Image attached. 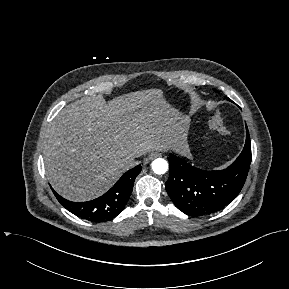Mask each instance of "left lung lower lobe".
I'll use <instances>...</instances> for the list:
<instances>
[{"label": "left lung lower lobe", "mask_w": 289, "mask_h": 289, "mask_svg": "<svg viewBox=\"0 0 289 289\" xmlns=\"http://www.w3.org/2000/svg\"><path fill=\"white\" fill-rule=\"evenodd\" d=\"M169 178L165 184L175 206L189 216H204L219 211L240 193L251 163L248 129L243 151L235 162L221 171L195 168L170 154Z\"/></svg>", "instance_id": "0a47b994"}]
</instances>
